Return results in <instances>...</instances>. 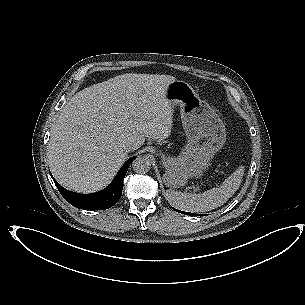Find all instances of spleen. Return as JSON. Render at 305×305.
Wrapping results in <instances>:
<instances>
[{
    "label": "spleen",
    "mask_w": 305,
    "mask_h": 305,
    "mask_svg": "<svg viewBox=\"0 0 305 305\" xmlns=\"http://www.w3.org/2000/svg\"><path fill=\"white\" fill-rule=\"evenodd\" d=\"M240 180V175L235 172L225 179L218 188L207 190L203 193H187L168 190V201L177 209L186 212H206L222 206L233 195L232 181Z\"/></svg>",
    "instance_id": "1"
}]
</instances>
